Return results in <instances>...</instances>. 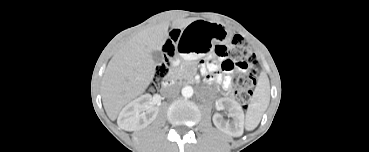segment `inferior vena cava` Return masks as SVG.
Wrapping results in <instances>:
<instances>
[{"label":"inferior vena cava","instance_id":"inferior-vena-cava-1","mask_svg":"<svg viewBox=\"0 0 369 152\" xmlns=\"http://www.w3.org/2000/svg\"><path fill=\"white\" fill-rule=\"evenodd\" d=\"M178 87L175 83H171L169 84L165 89H164V92L166 94H172V93H175L177 91Z\"/></svg>","mask_w":369,"mask_h":152}]
</instances>
